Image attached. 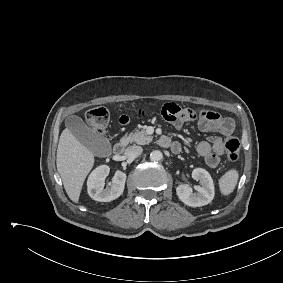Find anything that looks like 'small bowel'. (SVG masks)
Wrapping results in <instances>:
<instances>
[{
	"mask_svg": "<svg viewBox=\"0 0 283 283\" xmlns=\"http://www.w3.org/2000/svg\"><path fill=\"white\" fill-rule=\"evenodd\" d=\"M162 116L169 121L176 129H181L186 122L195 121L202 132L213 133L207 140L201 141L197 145L198 154L204 158L205 163L210 168H216L220 162V157L224 153L222 139L217 134L229 135L234 130V121L229 117L203 109L183 108L175 103H167L162 108ZM120 123L127 124L129 116H120ZM172 142V141H171ZM172 150L179 152L181 145L172 142Z\"/></svg>",
	"mask_w": 283,
	"mask_h": 283,
	"instance_id": "small-bowel-1",
	"label": "small bowel"
}]
</instances>
